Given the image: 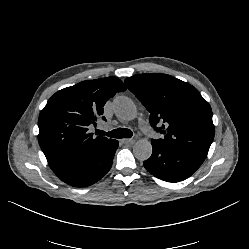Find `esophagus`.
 Instances as JSON below:
<instances>
[{
	"label": "esophagus",
	"mask_w": 249,
	"mask_h": 249,
	"mask_svg": "<svg viewBox=\"0 0 249 249\" xmlns=\"http://www.w3.org/2000/svg\"><path fill=\"white\" fill-rule=\"evenodd\" d=\"M131 142H133L132 139H122V140H121V143H123V144H129V143H131Z\"/></svg>",
	"instance_id": "esophagus-1"
}]
</instances>
